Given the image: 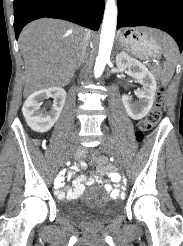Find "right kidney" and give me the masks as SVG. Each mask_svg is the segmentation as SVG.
Here are the masks:
<instances>
[{"instance_id":"ca27d5eb","label":"right kidney","mask_w":183,"mask_h":246,"mask_svg":"<svg viewBox=\"0 0 183 246\" xmlns=\"http://www.w3.org/2000/svg\"><path fill=\"white\" fill-rule=\"evenodd\" d=\"M54 98V104L49 112L40 110L42 101ZM66 101V91L61 87H51L36 91L28 96L22 112L28 126L35 132L49 131L58 120Z\"/></svg>"}]
</instances>
